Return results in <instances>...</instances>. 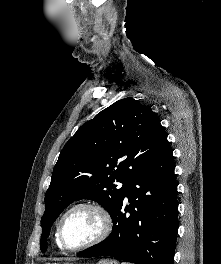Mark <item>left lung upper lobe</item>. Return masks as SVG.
Instances as JSON below:
<instances>
[{
	"label": "left lung upper lobe",
	"mask_w": 221,
	"mask_h": 264,
	"mask_svg": "<svg viewBox=\"0 0 221 264\" xmlns=\"http://www.w3.org/2000/svg\"><path fill=\"white\" fill-rule=\"evenodd\" d=\"M167 134L150 107L128 97L83 124L62 149L45 195L41 251L60 213L77 199H91L110 215L127 186L158 156ZM123 186L117 188L116 183Z\"/></svg>",
	"instance_id": "5c2ea615"
}]
</instances>
